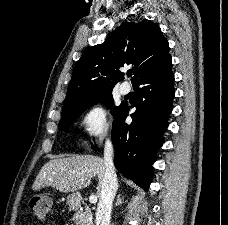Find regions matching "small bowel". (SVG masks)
Listing matches in <instances>:
<instances>
[{
    "label": "small bowel",
    "mask_w": 228,
    "mask_h": 225,
    "mask_svg": "<svg viewBox=\"0 0 228 225\" xmlns=\"http://www.w3.org/2000/svg\"><path fill=\"white\" fill-rule=\"evenodd\" d=\"M50 225H56V223L55 222H51Z\"/></svg>",
    "instance_id": "1"
}]
</instances>
